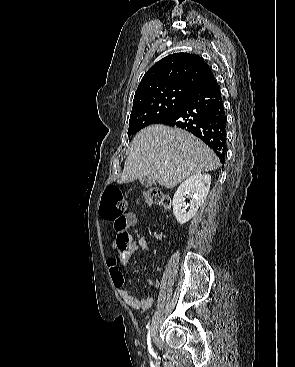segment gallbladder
Returning <instances> with one entry per match:
<instances>
[{
	"label": "gallbladder",
	"instance_id": "gallbladder-1",
	"mask_svg": "<svg viewBox=\"0 0 295 367\" xmlns=\"http://www.w3.org/2000/svg\"><path fill=\"white\" fill-rule=\"evenodd\" d=\"M140 183L144 187L149 188V187H151L155 183V181L154 180H151L149 178H142V179H140Z\"/></svg>",
	"mask_w": 295,
	"mask_h": 367
}]
</instances>
